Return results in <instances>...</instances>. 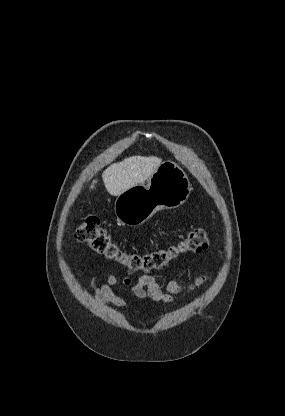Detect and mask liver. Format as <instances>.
Returning <instances> with one entry per match:
<instances>
[{"mask_svg":"<svg viewBox=\"0 0 285 416\" xmlns=\"http://www.w3.org/2000/svg\"><path fill=\"white\" fill-rule=\"evenodd\" d=\"M161 164V158H154V156L151 158H144V156L125 158L123 162L111 164L103 172L104 186L111 196H120L129 188L143 184L145 180L157 172ZM93 184H97L96 180H93ZM93 184L90 188H94Z\"/></svg>","mask_w":285,"mask_h":416,"instance_id":"1","label":"liver"}]
</instances>
